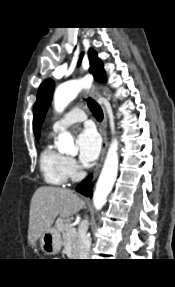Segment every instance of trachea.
Masks as SVG:
<instances>
[{"label":"trachea","mask_w":175,"mask_h":287,"mask_svg":"<svg viewBox=\"0 0 175 287\" xmlns=\"http://www.w3.org/2000/svg\"><path fill=\"white\" fill-rule=\"evenodd\" d=\"M88 107L90 111L92 112L93 116L98 120L102 121L103 119V112L101 107L96 103L92 98L87 99Z\"/></svg>","instance_id":"1"}]
</instances>
